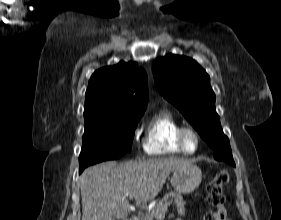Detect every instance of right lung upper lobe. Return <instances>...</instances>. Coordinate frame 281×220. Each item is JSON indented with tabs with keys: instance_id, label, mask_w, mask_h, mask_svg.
<instances>
[{
	"instance_id": "obj_1",
	"label": "right lung upper lobe",
	"mask_w": 281,
	"mask_h": 220,
	"mask_svg": "<svg viewBox=\"0 0 281 220\" xmlns=\"http://www.w3.org/2000/svg\"><path fill=\"white\" fill-rule=\"evenodd\" d=\"M148 103L147 74L123 61L97 70L86 91L84 119L143 115Z\"/></svg>"
}]
</instances>
